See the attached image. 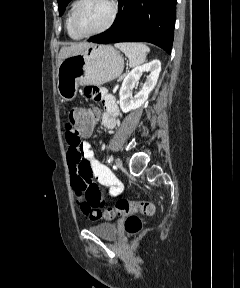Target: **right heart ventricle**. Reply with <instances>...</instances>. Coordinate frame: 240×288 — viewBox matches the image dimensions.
Returning <instances> with one entry per match:
<instances>
[{"label": "right heart ventricle", "mask_w": 240, "mask_h": 288, "mask_svg": "<svg viewBox=\"0 0 240 288\" xmlns=\"http://www.w3.org/2000/svg\"><path fill=\"white\" fill-rule=\"evenodd\" d=\"M78 3V0H73L72 3L70 4V7H69V10H68V14H67V17H66V21H65V27H66V31L69 35L70 38L74 39V40H79L81 39L82 37L79 36L72 28V24H71V20H72V14H73V11L76 7Z\"/></svg>", "instance_id": "right-heart-ventricle-1"}]
</instances>
